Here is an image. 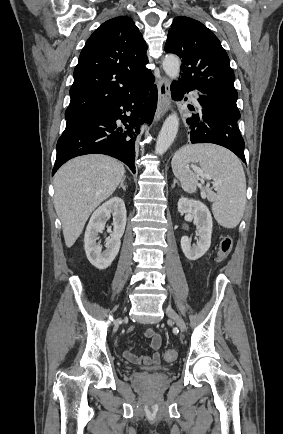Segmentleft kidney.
<instances>
[{"mask_svg": "<svg viewBox=\"0 0 283 434\" xmlns=\"http://www.w3.org/2000/svg\"><path fill=\"white\" fill-rule=\"evenodd\" d=\"M178 212L181 214L191 213L194 217V225L197 228V244L191 245V238L182 236L181 248L189 260L201 258L210 248L212 235V216L208 207L198 200L180 198L178 201Z\"/></svg>", "mask_w": 283, "mask_h": 434, "instance_id": "obj_1", "label": "left kidney"}]
</instances>
